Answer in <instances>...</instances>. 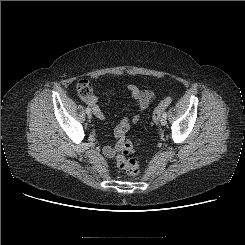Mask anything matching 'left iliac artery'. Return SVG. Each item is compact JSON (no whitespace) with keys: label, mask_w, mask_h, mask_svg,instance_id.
Instances as JSON below:
<instances>
[{"label":"left iliac artery","mask_w":245,"mask_h":245,"mask_svg":"<svg viewBox=\"0 0 245 245\" xmlns=\"http://www.w3.org/2000/svg\"><path fill=\"white\" fill-rule=\"evenodd\" d=\"M162 116L166 118L167 117V113L164 112Z\"/></svg>","instance_id":"44dca946"}]
</instances>
